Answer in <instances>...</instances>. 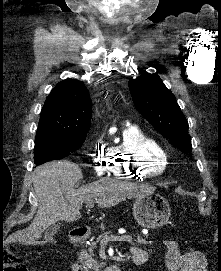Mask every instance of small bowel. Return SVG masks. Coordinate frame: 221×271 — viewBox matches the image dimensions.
Returning a JSON list of instances; mask_svg holds the SVG:
<instances>
[{"instance_id":"c3829d8e","label":"small bowel","mask_w":221,"mask_h":271,"mask_svg":"<svg viewBox=\"0 0 221 271\" xmlns=\"http://www.w3.org/2000/svg\"><path fill=\"white\" fill-rule=\"evenodd\" d=\"M163 246L166 249L164 258L166 271H207V261L198 250L189 249L183 252L176 241H165ZM153 252V249L138 246H132L130 249L132 257L144 255L147 258L148 254Z\"/></svg>"}]
</instances>
